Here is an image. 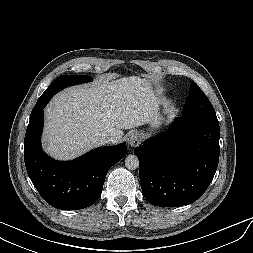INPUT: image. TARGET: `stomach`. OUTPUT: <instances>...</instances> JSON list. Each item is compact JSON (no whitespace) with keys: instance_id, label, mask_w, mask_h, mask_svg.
<instances>
[{"instance_id":"1","label":"stomach","mask_w":253,"mask_h":253,"mask_svg":"<svg viewBox=\"0 0 253 253\" xmlns=\"http://www.w3.org/2000/svg\"><path fill=\"white\" fill-rule=\"evenodd\" d=\"M164 121V117L158 112V109H157V113H156V116L153 120L152 123H150V126H151V132L156 130Z\"/></svg>"}]
</instances>
